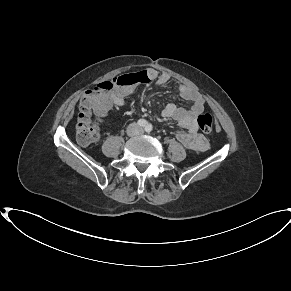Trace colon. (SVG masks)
Instances as JSON below:
<instances>
[{"mask_svg":"<svg viewBox=\"0 0 291 291\" xmlns=\"http://www.w3.org/2000/svg\"><path fill=\"white\" fill-rule=\"evenodd\" d=\"M140 81V73L121 75L97 84L82 97L76 123V138L80 144L88 145L98 139L99 129L95 117L104 116L108 110V104L103 100L106 94L115 87H126ZM197 124L202 132L210 133L213 129V118L208 113L202 114L198 116Z\"/></svg>","mask_w":291,"mask_h":291,"instance_id":"colon-1","label":"colon"}]
</instances>
